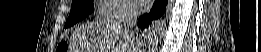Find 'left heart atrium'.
<instances>
[{"label": "left heart atrium", "instance_id": "39dd6f15", "mask_svg": "<svg viewBox=\"0 0 261 52\" xmlns=\"http://www.w3.org/2000/svg\"><path fill=\"white\" fill-rule=\"evenodd\" d=\"M136 3L140 8H149L151 6V1L150 0H136Z\"/></svg>", "mask_w": 261, "mask_h": 52}]
</instances>
